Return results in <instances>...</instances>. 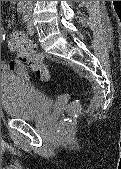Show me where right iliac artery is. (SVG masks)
Here are the masks:
<instances>
[{
	"label": "right iliac artery",
	"instance_id": "obj_1",
	"mask_svg": "<svg viewBox=\"0 0 121 169\" xmlns=\"http://www.w3.org/2000/svg\"><path fill=\"white\" fill-rule=\"evenodd\" d=\"M17 12H18L19 14L24 13V6L21 5V4H19L18 7H17Z\"/></svg>",
	"mask_w": 121,
	"mask_h": 169
}]
</instances>
